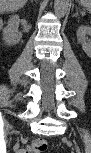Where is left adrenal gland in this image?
Instances as JSON below:
<instances>
[{
  "label": "left adrenal gland",
  "mask_w": 91,
  "mask_h": 153,
  "mask_svg": "<svg viewBox=\"0 0 91 153\" xmlns=\"http://www.w3.org/2000/svg\"><path fill=\"white\" fill-rule=\"evenodd\" d=\"M75 16H79L78 9H76V14H75Z\"/></svg>",
  "instance_id": "1"
}]
</instances>
